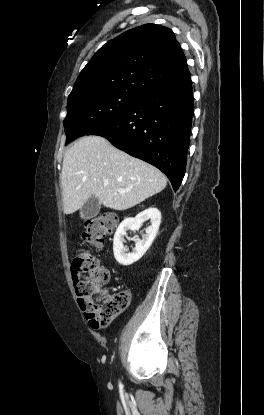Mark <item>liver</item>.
I'll use <instances>...</instances> for the list:
<instances>
[{
	"instance_id": "6515ba94",
	"label": "liver",
	"mask_w": 264,
	"mask_h": 415,
	"mask_svg": "<svg viewBox=\"0 0 264 415\" xmlns=\"http://www.w3.org/2000/svg\"><path fill=\"white\" fill-rule=\"evenodd\" d=\"M60 178L66 215L79 210L92 196L107 208L126 210L167 185L159 169L94 135L82 137L65 152Z\"/></svg>"
}]
</instances>
